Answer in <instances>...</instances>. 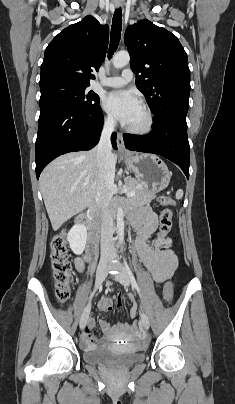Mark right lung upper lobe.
Instances as JSON below:
<instances>
[{
  "label": "right lung upper lobe",
  "instance_id": "cb5924a9",
  "mask_svg": "<svg viewBox=\"0 0 235 404\" xmlns=\"http://www.w3.org/2000/svg\"><path fill=\"white\" fill-rule=\"evenodd\" d=\"M109 41L107 25L86 16L62 30L45 50L40 85L67 82L89 86L106 55Z\"/></svg>",
  "mask_w": 235,
  "mask_h": 404
}]
</instances>
